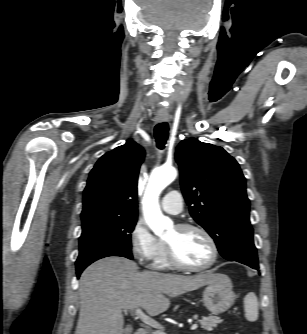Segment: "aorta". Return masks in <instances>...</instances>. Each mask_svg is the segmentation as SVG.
Masks as SVG:
<instances>
[{
    "label": "aorta",
    "mask_w": 307,
    "mask_h": 334,
    "mask_svg": "<svg viewBox=\"0 0 307 334\" xmlns=\"http://www.w3.org/2000/svg\"><path fill=\"white\" fill-rule=\"evenodd\" d=\"M177 177L174 167H160L151 173L142 201L143 214L149 228L157 236H162L173 227L170 218L163 215L159 205L160 193Z\"/></svg>",
    "instance_id": "aorta-1"
}]
</instances>
